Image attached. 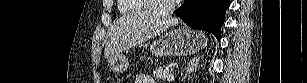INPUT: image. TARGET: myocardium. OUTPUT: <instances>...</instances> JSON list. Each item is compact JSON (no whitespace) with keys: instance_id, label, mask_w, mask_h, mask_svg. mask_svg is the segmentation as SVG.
<instances>
[{"instance_id":"f54148a6","label":"myocardium","mask_w":307,"mask_h":83,"mask_svg":"<svg viewBox=\"0 0 307 83\" xmlns=\"http://www.w3.org/2000/svg\"><path fill=\"white\" fill-rule=\"evenodd\" d=\"M147 5L154 9V12L159 15H167L170 14L176 7L177 4L180 2L178 0H172V2L168 3L164 7H158L156 4V0H144Z\"/></svg>"}]
</instances>
